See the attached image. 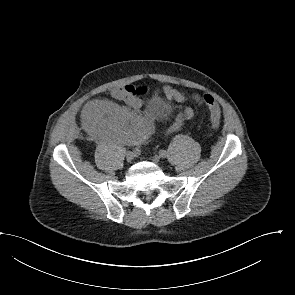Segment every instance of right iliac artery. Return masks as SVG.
Segmentation results:
<instances>
[{"label": "right iliac artery", "mask_w": 295, "mask_h": 295, "mask_svg": "<svg viewBox=\"0 0 295 295\" xmlns=\"http://www.w3.org/2000/svg\"><path fill=\"white\" fill-rule=\"evenodd\" d=\"M141 151H142V147H141L140 145H137V146L135 147V149L133 150V153H134L135 155H138Z\"/></svg>", "instance_id": "82829eb1"}]
</instances>
